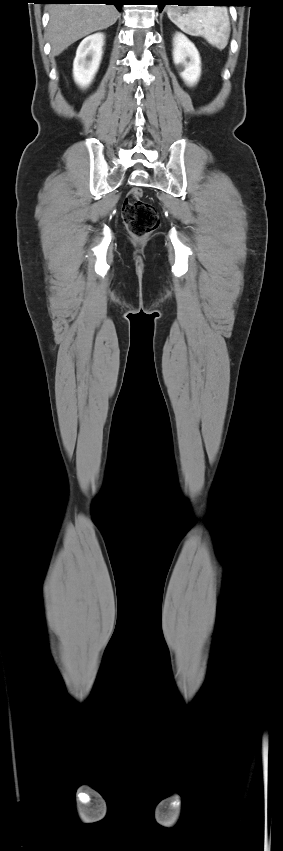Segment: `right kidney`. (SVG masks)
<instances>
[{
  "label": "right kidney",
  "instance_id": "1",
  "mask_svg": "<svg viewBox=\"0 0 283 851\" xmlns=\"http://www.w3.org/2000/svg\"><path fill=\"white\" fill-rule=\"evenodd\" d=\"M104 35L96 33L83 39L76 51L73 62V76L81 87H87L92 82L102 59Z\"/></svg>",
  "mask_w": 283,
  "mask_h": 851
}]
</instances>
